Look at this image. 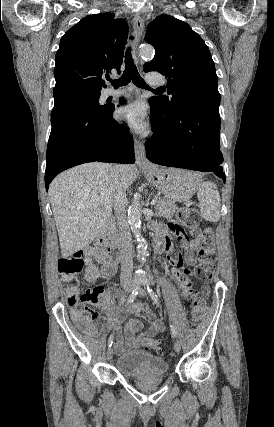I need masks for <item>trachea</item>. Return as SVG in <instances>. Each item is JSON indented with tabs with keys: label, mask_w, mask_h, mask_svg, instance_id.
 <instances>
[{
	"label": "trachea",
	"mask_w": 274,
	"mask_h": 427,
	"mask_svg": "<svg viewBox=\"0 0 274 427\" xmlns=\"http://www.w3.org/2000/svg\"><path fill=\"white\" fill-rule=\"evenodd\" d=\"M130 39L133 40L134 37H130ZM131 80L137 87L145 89L149 88L142 77L139 75L137 67L133 63L131 47H128L125 55V70L119 79L111 80V83L113 87L118 88L120 86L127 85L129 82H131ZM156 90H161V87Z\"/></svg>",
	"instance_id": "1"
}]
</instances>
